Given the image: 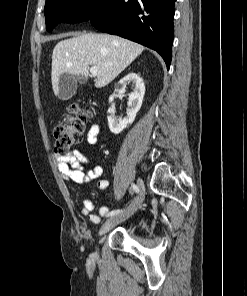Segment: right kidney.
<instances>
[{"mask_svg":"<svg viewBox=\"0 0 247 296\" xmlns=\"http://www.w3.org/2000/svg\"><path fill=\"white\" fill-rule=\"evenodd\" d=\"M132 84L133 90L129 93L128 106L129 110L125 118H120L115 115V110L112 108L108 109V126L112 133L119 134L128 125L132 124L135 120L136 114L140 110L145 94V86L142 78L137 73H129L118 82V88L116 89L119 93H125L127 85ZM114 100V95L109 97V102Z\"/></svg>","mask_w":247,"mask_h":296,"instance_id":"1","label":"right kidney"}]
</instances>
